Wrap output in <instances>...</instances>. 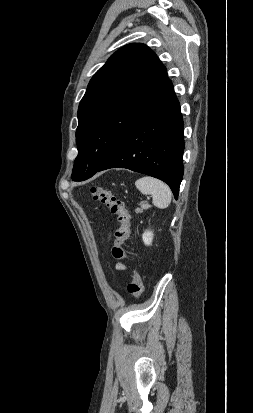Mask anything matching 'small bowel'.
<instances>
[{
	"mask_svg": "<svg viewBox=\"0 0 253 413\" xmlns=\"http://www.w3.org/2000/svg\"><path fill=\"white\" fill-rule=\"evenodd\" d=\"M126 266L123 263H117L116 264V269L118 270H126Z\"/></svg>",
	"mask_w": 253,
	"mask_h": 413,
	"instance_id": "obj_1",
	"label": "small bowel"
}]
</instances>
